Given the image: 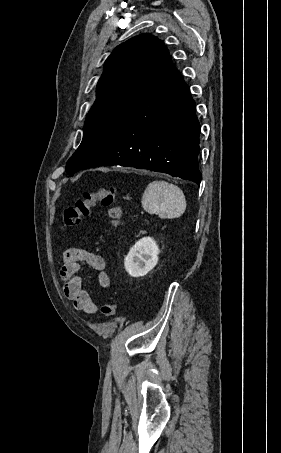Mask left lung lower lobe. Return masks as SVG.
Masks as SVG:
<instances>
[{
	"mask_svg": "<svg viewBox=\"0 0 281 453\" xmlns=\"http://www.w3.org/2000/svg\"><path fill=\"white\" fill-rule=\"evenodd\" d=\"M199 134L195 103L169 56L134 111L82 169L120 165L199 184Z\"/></svg>",
	"mask_w": 281,
	"mask_h": 453,
	"instance_id": "left-lung-lower-lobe-1",
	"label": "left lung lower lobe"
}]
</instances>
